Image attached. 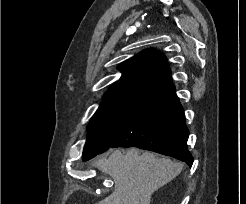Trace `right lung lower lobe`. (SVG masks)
Returning <instances> with one entry per match:
<instances>
[{
	"label": "right lung lower lobe",
	"mask_w": 246,
	"mask_h": 204,
	"mask_svg": "<svg viewBox=\"0 0 246 204\" xmlns=\"http://www.w3.org/2000/svg\"><path fill=\"white\" fill-rule=\"evenodd\" d=\"M188 136L183 108L170 81L132 103L110 148L138 147L171 156L191 167Z\"/></svg>",
	"instance_id": "right-lung-lower-lobe-1"
}]
</instances>
